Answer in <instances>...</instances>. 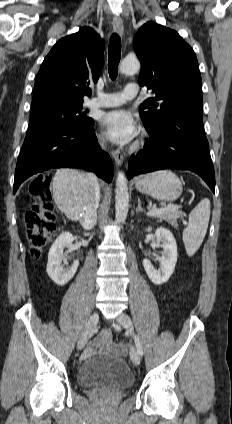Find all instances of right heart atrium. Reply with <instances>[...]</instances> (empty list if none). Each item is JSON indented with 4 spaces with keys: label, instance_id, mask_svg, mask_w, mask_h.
<instances>
[{
    "label": "right heart atrium",
    "instance_id": "1",
    "mask_svg": "<svg viewBox=\"0 0 232 424\" xmlns=\"http://www.w3.org/2000/svg\"><path fill=\"white\" fill-rule=\"evenodd\" d=\"M97 144L100 148H104L106 145V139L103 135H99L97 137Z\"/></svg>",
    "mask_w": 232,
    "mask_h": 424
}]
</instances>
